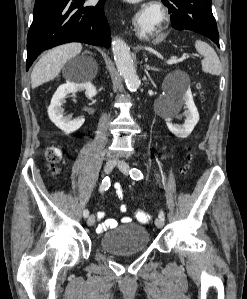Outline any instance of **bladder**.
<instances>
[{
	"label": "bladder",
	"mask_w": 247,
	"mask_h": 299,
	"mask_svg": "<svg viewBox=\"0 0 247 299\" xmlns=\"http://www.w3.org/2000/svg\"><path fill=\"white\" fill-rule=\"evenodd\" d=\"M150 245L149 231L142 225L127 223L104 233L101 248L114 255H129L145 251Z\"/></svg>",
	"instance_id": "obj_1"
}]
</instances>
